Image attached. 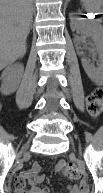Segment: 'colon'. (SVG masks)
I'll return each mask as SVG.
<instances>
[{
  "mask_svg": "<svg viewBox=\"0 0 103 193\" xmlns=\"http://www.w3.org/2000/svg\"><path fill=\"white\" fill-rule=\"evenodd\" d=\"M102 100H103V90L101 88H96L87 97L88 111L92 116L97 117L101 114ZM58 167L63 172V175L66 178L74 179L79 177L80 175V169L74 163L61 161Z\"/></svg>",
  "mask_w": 103,
  "mask_h": 193,
  "instance_id": "1",
  "label": "colon"
}]
</instances>
